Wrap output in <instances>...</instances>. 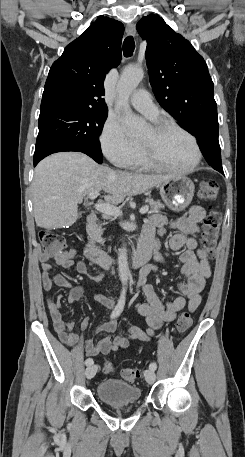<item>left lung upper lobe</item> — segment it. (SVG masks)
<instances>
[{
	"instance_id": "obj_1",
	"label": "left lung upper lobe",
	"mask_w": 245,
	"mask_h": 457,
	"mask_svg": "<svg viewBox=\"0 0 245 457\" xmlns=\"http://www.w3.org/2000/svg\"><path fill=\"white\" fill-rule=\"evenodd\" d=\"M137 30L147 41L150 84L160 105L191 134L218 124L213 82L191 43L153 14L143 17Z\"/></svg>"
}]
</instances>
